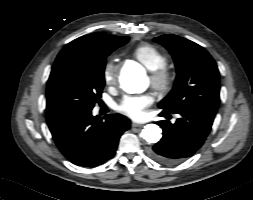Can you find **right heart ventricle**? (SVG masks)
Wrapping results in <instances>:
<instances>
[{"label":"right heart ventricle","mask_w":253,"mask_h":200,"mask_svg":"<svg viewBox=\"0 0 253 200\" xmlns=\"http://www.w3.org/2000/svg\"><path fill=\"white\" fill-rule=\"evenodd\" d=\"M133 56L150 71L165 67L168 62L163 51L148 43L137 46L133 50Z\"/></svg>","instance_id":"obj_1"}]
</instances>
